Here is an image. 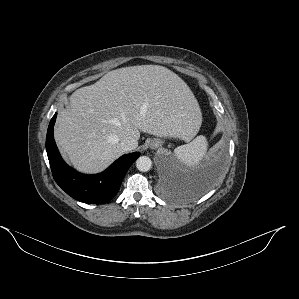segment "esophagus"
I'll use <instances>...</instances> for the list:
<instances>
[{
  "label": "esophagus",
  "instance_id": "obj_1",
  "mask_svg": "<svg viewBox=\"0 0 299 299\" xmlns=\"http://www.w3.org/2000/svg\"><path fill=\"white\" fill-rule=\"evenodd\" d=\"M157 147H158V144L156 142L151 143V148H157Z\"/></svg>",
  "mask_w": 299,
  "mask_h": 299
}]
</instances>
